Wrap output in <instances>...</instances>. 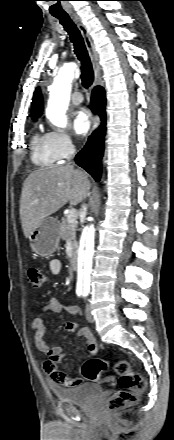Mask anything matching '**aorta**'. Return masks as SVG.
Wrapping results in <instances>:
<instances>
[{
	"label": "aorta",
	"mask_w": 174,
	"mask_h": 440,
	"mask_svg": "<svg viewBox=\"0 0 174 440\" xmlns=\"http://www.w3.org/2000/svg\"><path fill=\"white\" fill-rule=\"evenodd\" d=\"M76 69L77 65L75 63L66 64L54 78L53 90L48 100L46 115L52 124L59 128H65L67 126L65 113L69 105L71 83L74 79ZM94 239L95 227L91 224L84 228L81 236L78 255V289H90Z\"/></svg>",
	"instance_id": "1"
}]
</instances>
